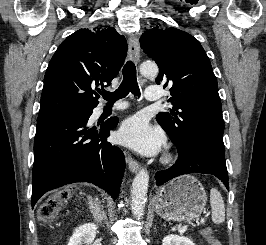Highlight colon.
Segmentation results:
<instances>
[{"label": "colon", "mask_w": 266, "mask_h": 245, "mask_svg": "<svg viewBox=\"0 0 266 245\" xmlns=\"http://www.w3.org/2000/svg\"><path fill=\"white\" fill-rule=\"evenodd\" d=\"M65 198L63 196H52L46 199L39 209V214L45 221H50L58 210L63 206ZM202 234L206 237L209 245H222L220 240L213 234L210 229H204Z\"/></svg>", "instance_id": "5ec220e1"}]
</instances>
